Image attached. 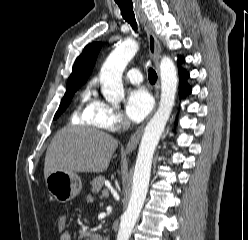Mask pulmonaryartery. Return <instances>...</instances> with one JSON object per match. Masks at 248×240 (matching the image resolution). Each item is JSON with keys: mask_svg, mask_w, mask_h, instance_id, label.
<instances>
[{"mask_svg": "<svg viewBox=\"0 0 248 240\" xmlns=\"http://www.w3.org/2000/svg\"><path fill=\"white\" fill-rule=\"evenodd\" d=\"M125 77L133 84H139L142 82V74L138 69H131L125 73Z\"/></svg>", "mask_w": 248, "mask_h": 240, "instance_id": "e3ab8cb5", "label": "pulmonary artery"}]
</instances>
